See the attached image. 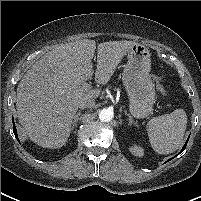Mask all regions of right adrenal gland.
<instances>
[{"label":"right adrenal gland","instance_id":"right-adrenal-gland-1","mask_svg":"<svg viewBox=\"0 0 201 201\" xmlns=\"http://www.w3.org/2000/svg\"><path fill=\"white\" fill-rule=\"evenodd\" d=\"M81 115V111H78L77 114L74 116V120L72 123V130L76 128L79 116Z\"/></svg>","mask_w":201,"mask_h":201}]
</instances>
